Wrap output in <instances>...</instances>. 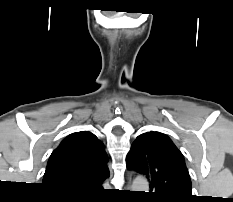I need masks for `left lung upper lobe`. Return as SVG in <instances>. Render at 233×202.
<instances>
[{
    "label": "left lung upper lobe",
    "instance_id": "left-lung-upper-lobe-1",
    "mask_svg": "<svg viewBox=\"0 0 233 202\" xmlns=\"http://www.w3.org/2000/svg\"><path fill=\"white\" fill-rule=\"evenodd\" d=\"M127 167L146 175L155 202H190L191 180L182 153L160 132L139 135L126 157Z\"/></svg>",
    "mask_w": 233,
    "mask_h": 202
}]
</instances>
